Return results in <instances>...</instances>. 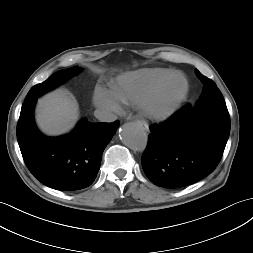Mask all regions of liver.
Masks as SVG:
<instances>
[{
  "label": "liver",
  "instance_id": "1",
  "mask_svg": "<svg viewBox=\"0 0 253 253\" xmlns=\"http://www.w3.org/2000/svg\"><path fill=\"white\" fill-rule=\"evenodd\" d=\"M79 117L77 102L62 89L38 100L36 121L47 135H60L71 130Z\"/></svg>",
  "mask_w": 253,
  "mask_h": 253
}]
</instances>
